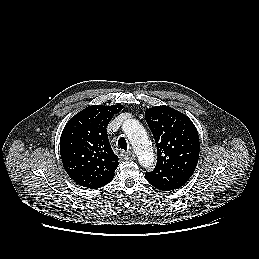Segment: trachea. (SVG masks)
Listing matches in <instances>:
<instances>
[{
    "mask_svg": "<svg viewBox=\"0 0 259 259\" xmlns=\"http://www.w3.org/2000/svg\"><path fill=\"white\" fill-rule=\"evenodd\" d=\"M118 148L123 149V150H127V142H126L124 137H121L118 140Z\"/></svg>",
    "mask_w": 259,
    "mask_h": 259,
    "instance_id": "trachea-1",
    "label": "trachea"
}]
</instances>
